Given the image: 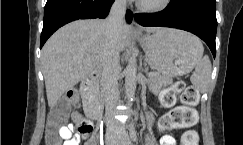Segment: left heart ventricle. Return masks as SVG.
I'll return each instance as SVG.
<instances>
[{"instance_id":"left-heart-ventricle-1","label":"left heart ventricle","mask_w":243,"mask_h":145,"mask_svg":"<svg viewBox=\"0 0 243 145\" xmlns=\"http://www.w3.org/2000/svg\"><path fill=\"white\" fill-rule=\"evenodd\" d=\"M144 4L153 5L159 3L161 0H140Z\"/></svg>"}]
</instances>
